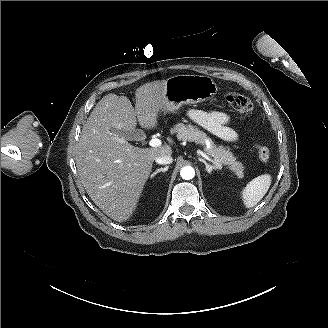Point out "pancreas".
I'll list each match as a JSON object with an SVG mask.
<instances>
[{"label":"pancreas","mask_w":328,"mask_h":328,"mask_svg":"<svg viewBox=\"0 0 328 328\" xmlns=\"http://www.w3.org/2000/svg\"><path fill=\"white\" fill-rule=\"evenodd\" d=\"M172 133H178V139L188 142L205 143L207 135L196 129L194 126L179 124L172 130ZM205 153L213 157L221 165H225L227 169L237 178H242L245 167L234 156L230 146L216 147L210 140V149H206Z\"/></svg>","instance_id":"cf45deb5"}]
</instances>
